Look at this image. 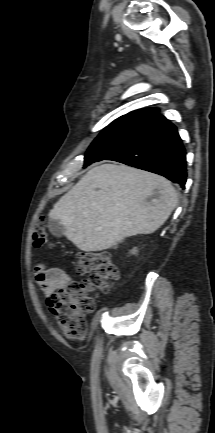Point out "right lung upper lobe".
<instances>
[{
	"label": "right lung upper lobe",
	"mask_w": 215,
	"mask_h": 433,
	"mask_svg": "<svg viewBox=\"0 0 215 433\" xmlns=\"http://www.w3.org/2000/svg\"><path fill=\"white\" fill-rule=\"evenodd\" d=\"M158 113V109H140L124 115L121 118H140L149 120Z\"/></svg>",
	"instance_id": "cb5924a9"
}]
</instances>
